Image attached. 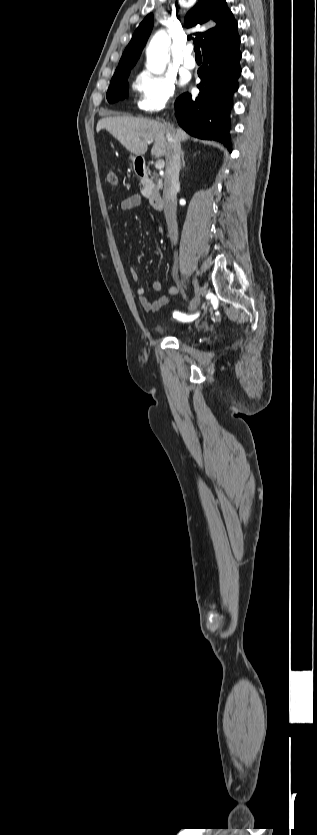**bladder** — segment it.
Wrapping results in <instances>:
<instances>
[{
    "instance_id": "bladder-1",
    "label": "bladder",
    "mask_w": 317,
    "mask_h": 835,
    "mask_svg": "<svg viewBox=\"0 0 317 835\" xmlns=\"http://www.w3.org/2000/svg\"><path fill=\"white\" fill-rule=\"evenodd\" d=\"M156 330L159 333H162V334H169L170 333V334H173L175 337L182 336V333L180 331L174 330V329H172L168 326H164V325L157 326Z\"/></svg>"
}]
</instances>
